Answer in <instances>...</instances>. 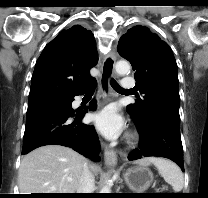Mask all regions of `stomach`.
Here are the masks:
<instances>
[{
    "label": "stomach",
    "mask_w": 208,
    "mask_h": 198,
    "mask_svg": "<svg viewBox=\"0 0 208 198\" xmlns=\"http://www.w3.org/2000/svg\"><path fill=\"white\" fill-rule=\"evenodd\" d=\"M123 176L128 187L136 193H143L153 182V173L141 164L127 169Z\"/></svg>",
    "instance_id": "stomach-1"
}]
</instances>
